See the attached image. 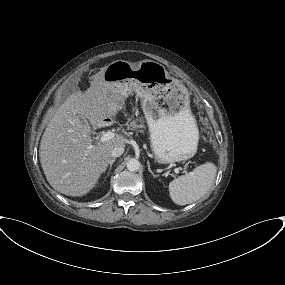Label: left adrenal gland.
<instances>
[{
  "label": "left adrenal gland",
  "mask_w": 285,
  "mask_h": 285,
  "mask_svg": "<svg viewBox=\"0 0 285 285\" xmlns=\"http://www.w3.org/2000/svg\"><path fill=\"white\" fill-rule=\"evenodd\" d=\"M147 166H148V171L151 173V175L153 176V177H157V175L156 174H154L153 173V171L151 170V168H150V163H149V161H147Z\"/></svg>",
  "instance_id": "a2214340"
}]
</instances>
